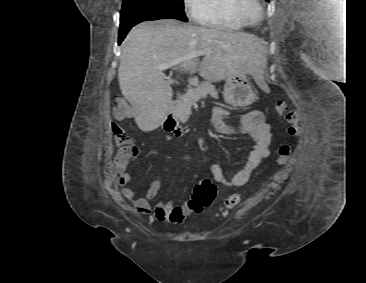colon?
I'll use <instances>...</instances> for the list:
<instances>
[{
	"label": "colon",
	"mask_w": 366,
	"mask_h": 283,
	"mask_svg": "<svg viewBox=\"0 0 366 283\" xmlns=\"http://www.w3.org/2000/svg\"><path fill=\"white\" fill-rule=\"evenodd\" d=\"M276 114L284 118L289 123L287 129L290 135H296L299 131L298 113L291 109L284 101H278L275 106ZM130 114V108L126 101L118 98L114 101L112 107V116L115 120L120 121L126 119ZM112 136L119 150L115 156V163L120 166H127L137 155L138 149L128 136L126 130L114 123L112 125ZM291 155V147L283 144L278 148V163L285 164ZM216 185L209 179L200 180L195 186L194 192L188 201V207L191 212L199 213L209 206L216 195ZM242 199L240 193L230 195L224 203L225 209L236 207Z\"/></svg>",
	"instance_id": "1"
}]
</instances>
